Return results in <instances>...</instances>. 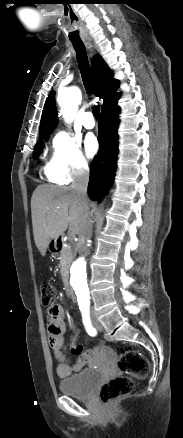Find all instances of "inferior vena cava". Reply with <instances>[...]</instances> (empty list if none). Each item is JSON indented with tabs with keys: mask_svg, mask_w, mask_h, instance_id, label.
Listing matches in <instances>:
<instances>
[{
	"mask_svg": "<svg viewBox=\"0 0 183 438\" xmlns=\"http://www.w3.org/2000/svg\"><path fill=\"white\" fill-rule=\"evenodd\" d=\"M89 181V170L85 165L77 168L74 172L71 189H73L84 204L83 230L79 234V252L87 254V241L91 237L92 222L88 206L87 186Z\"/></svg>",
	"mask_w": 183,
	"mask_h": 438,
	"instance_id": "inferior-vena-cava-1",
	"label": "inferior vena cava"
}]
</instances>
